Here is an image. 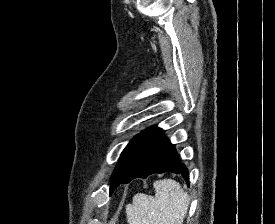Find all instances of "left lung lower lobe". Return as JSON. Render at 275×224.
Segmentation results:
<instances>
[{
  "label": "left lung lower lobe",
  "instance_id": "0a47b994",
  "mask_svg": "<svg viewBox=\"0 0 275 224\" xmlns=\"http://www.w3.org/2000/svg\"><path fill=\"white\" fill-rule=\"evenodd\" d=\"M166 171L181 174L189 184L187 168L179 162L178 154L165 137L164 131L157 128L143 145L128 171L121 178L112 180L110 193L121 183H129L135 178H146L150 174Z\"/></svg>",
  "mask_w": 275,
  "mask_h": 224
}]
</instances>
